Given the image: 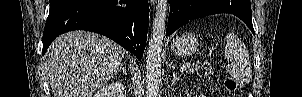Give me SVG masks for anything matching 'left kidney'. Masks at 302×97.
I'll list each match as a JSON object with an SVG mask.
<instances>
[{
  "instance_id": "left-kidney-1",
  "label": "left kidney",
  "mask_w": 302,
  "mask_h": 97,
  "mask_svg": "<svg viewBox=\"0 0 302 97\" xmlns=\"http://www.w3.org/2000/svg\"><path fill=\"white\" fill-rule=\"evenodd\" d=\"M196 97H204V95H203V94H201V95H198V96L196 95Z\"/></svg>"
}]
</instances>
